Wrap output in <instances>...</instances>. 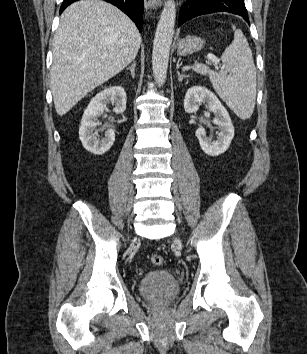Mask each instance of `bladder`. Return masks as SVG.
Wrapping results in <instances>:
<instances>
[{"label": "bladder", "mask_w": 307, "mask_h": 354, "mask_svg": "<svg viewBox=\"0 0 307 354\" xmlns=\"http://www.w3.org/2000/svg\"><path fill=\"white\" fill-rule=\"evenodd\" d=\"M138 290L148 301L166 303L178 295L180 283L168 270H152L140 279Z\"/></svg>", "instance_id": "31cf9c89"}]
</instances>
